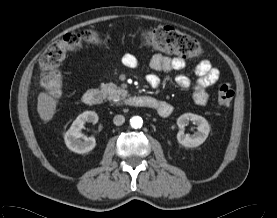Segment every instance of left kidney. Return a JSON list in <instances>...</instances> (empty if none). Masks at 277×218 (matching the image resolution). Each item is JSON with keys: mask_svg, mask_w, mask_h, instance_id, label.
<instances>
[{"mask_svg": "<svg viewBox=\"0 0 277 218\" xmlns=\"http://www.w3.org/2000/svg\"><path fill=\"white\" fill-rule=\"evenodd\" d=\"M189 122H193L197 125L198 131L193 135L184 133V128L189 124ZM177 125L180 128L177 134V140L181 145L187 148L198 147L201 145L206 140L210 132L208 121L204 117L193 113L182 114L177 119Z\"/></svg>", "mask_w": 277, "mask_h": 218, "instance_id": "left-kidney-1", "label": "left kidney"}]
</instances>
